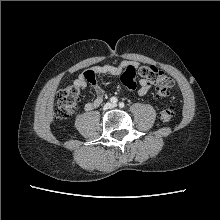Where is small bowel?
Segmentation results:
<instances>
[{"mask_svg":"<svg viewBox=\"0 0 220 220\" xmlns=\"http://www.w3.org/2000/svg\"><path fill=\"white\" fill-rule=\"evenodd\" d=\"M129 65H133V62L131 61H123L119 65H100L95 66L91 70H88L84 73H82L75 81V86L79 88H85L88 84L91 85L93 88L96 98L92 101H89L85 105L86 111H92L99 107L104 98V91L97 83V77L100 75H110V76H117L121 73L122 69L124 67H127ZM150 90V84L144 80L141 79L139 82V88H138V94L140 96L146 95Z\"/></svg>","mask_w":220,"mask_h":220,"instance_id":"c3829d8e","label":"small bowel"}]
</instances>
